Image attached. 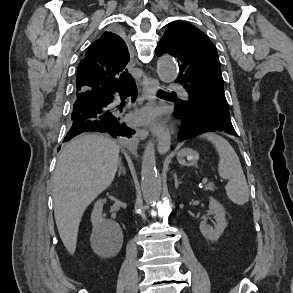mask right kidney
I'll return each instance as SVG.
<instances>
[{"mask_svg": "<svg viewBox=\"0 0 293 293\" xmlns=\"http://www.w3.org/2000/svg\"><path fill=\"white\" fill-rule=\"evenodd\" d=\"M103 202L98 200L94 204L91 214L93 233L101 237L102 246L119 251L123 243V235L117 223L106 221L102 217Z\"/></svg>", "mask_w": 293, "mask_h": 293, "instance_id": "ca27d5eb", "label": "right kidney"}]
</instances>
